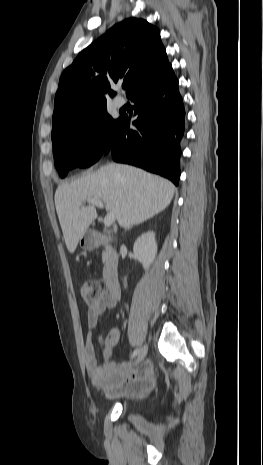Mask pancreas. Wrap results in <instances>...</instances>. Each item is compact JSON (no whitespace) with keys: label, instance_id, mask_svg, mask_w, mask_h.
I'll return each instance as SVG.
<instances>
[{"label":"pancreas","instance_id":"cf45deb5","mask_svg":"<svg viewBox=\"0 0 263 465\" xmlns=\"http://www.w3.org/2000/svg\"><path fill=\"white\" fill-rule=\"evenodd\" d=\"M109 254H110L109 249H106V251H104V252L102 253V260H103V262L108 261V259H109Z\"/></svg>","mask_w":263,"mask_h":465}]
</instances>
